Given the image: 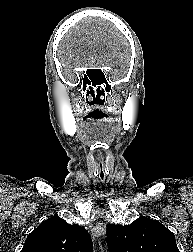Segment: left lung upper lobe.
<instances>
[{
	"instance_id": "obj_1",
	"label": "left lung upper lobe",
	"mask_w": 193,
	"mask_h": 252,
	"mask_svg": "<svg viewBox=\"0 0 193 252\" xmlns=\"http://www.w3.org/2000/svg\"><path fill=\"white\" fill-rule=\"evenodd\" d=\"M106 234L110 252H179L174 234L147 217L125 226L110 224Z\"/></svg>"
}]
</instances>
